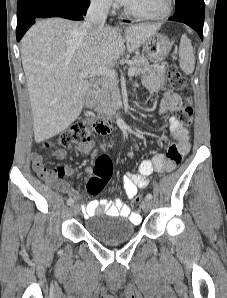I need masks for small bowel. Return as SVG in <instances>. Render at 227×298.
<instances>
[{
    "mask_svg": "<svg viewBox=\"0 0 227 298\" xmlns=\"http://www.w3.org/2000/svg\"><path fill=\"white\" fill-rule=\"evenodd\" d=\"M165 68H172V63H156L154 68L147 74L144 84L150 93L158 92L163 85ZM182 108V100L178 94L169 91L163 92L159 113L168 116V128L170 135L176 141L169 146L166 154L156 153L150 158L144 159L138 168L137 173L128 172L122 177V184L128 197L133 198L139 189H144L149 183V177L153 172L162 173L171 171L175 167H180L181 159L189 152V131L173 114ZM94 148V142L89 140L78 146V151L83 155H88ZM56 157H64V150H57ZM31 160L34 170L46 181L53 184L60 191L71 196L72 199L82 203V210L86 217H94L100 214L108 216H121L133 222H138L140 216L132 212L130 208L121 200L115 199L110 202L106 199L91 200L85 202L86 196L79 193L70 184L62 180L65 176L74 174L71 166H59L57 168H47L43 163V156L33 152ZM86 173L91 175L92 169L87 167Z\"/></svg>",
    "mask_w": 227,
    "mask_h": 298,
    "instance_id": "small-bowel-1",
    "label": "small bowel"
}]
</instances>
